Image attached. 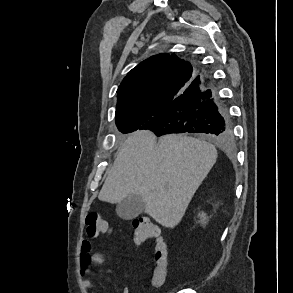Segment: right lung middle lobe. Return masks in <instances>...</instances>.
Masks as SVG:
<instances>
[{
	"label": "right lung middle lobe",
	"instance_id": "right-lung-middle-lobe-1",
	"mask_svg": "<svg viewBox=\"0 0 293 293\" xmlns=\"http://www.w3.org/2000/svg\"><path fill=\"white\" fill-rule=\"evenodd\" d=\"M153 110L141 108L135 111L116 116V125L122 133H130L139 129L153 117Z\"/></svg>",
	"mask_w": 293,
	"mask_h": 293
}]
</instances>
